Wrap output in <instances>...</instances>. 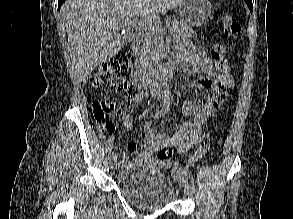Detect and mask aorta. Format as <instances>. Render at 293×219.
Masks as SVG:
<instances>
[{"label":"aorta","mask_w":293,"mask_h":219,"mask_svg":"<svg viewBox=\"0 0 293 219\" xmlns=\"http://www.w3.org/2000/svg\"><path fill=\"white\" fill-rule=\"evenodd\" d=\"M159 70L160 72H158V74H159V82L161 85V90L163 92H167L169 90V83L166 78V74L163 71H161V68H159Z\"/></svg>","instance_id":"aorta-1"}]
</instances>
